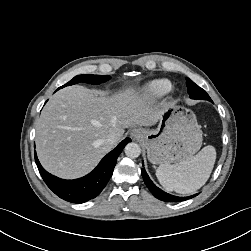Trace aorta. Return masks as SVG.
I'll use <instances>...</instances> for the list:
<instances>
[{"label": "aorta", "mask_w": 251, "mask_h": 251, "mask_svg": "<svg viewBox=\"0 0 251 251\" xmlns=\"http://www.w3.org/2000/svg\"><path fill=\"white\" fill-rule=\"evenodd\" d=\"M125 154L130 158H137L141 154V148L137 143L131 142L125 146Z\"/></svg>", "instance_id": "762f6f07"}]
</instances>
